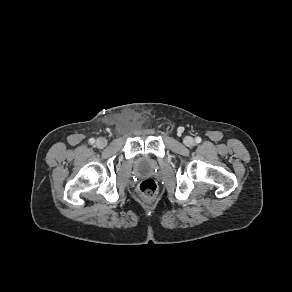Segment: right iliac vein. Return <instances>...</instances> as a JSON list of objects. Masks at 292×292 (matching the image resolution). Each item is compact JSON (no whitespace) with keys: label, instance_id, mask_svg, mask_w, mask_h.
Listing matches in <instances>:
<instances>
[{"label":"right iliac vein","instance_id":"right-iliac-vein-1","mask_svg":"<svg viewBox=\"0 0 292 292\" xmlns=\"http://www.w3.org/2000/svg\"><path fill=\"white\" fill-rule=\"evenodd\" d=\"M96 146L98 147V148H104L106 145H107V141H106V139L105 138H102V137H100V138H98L97 140H96Z\"/></svg>","mask_w":292,"mask_h":292}]
</instances>
